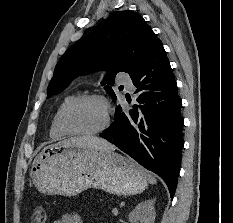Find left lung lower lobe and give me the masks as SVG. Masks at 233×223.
<instances>
[{
  "mask_svg": "<svg viewBox=\"0 0 233 223\" xmlns=\"http://www.w3.org/2000/svg\"><path fill=\"white\" fill-rule=\"evenodd\" d=\"M130 77L137 87L138 104L130 111L119 107L114 122L100 136L162 177L172 197L184 146V122L177 83L159 39Z\"/></svg>",
  "mask_w": 233,
  "mask_h": 223,
  "instance_id": "0a47b994",
  "label": "left lung lower lobe"
}]
</instances>
